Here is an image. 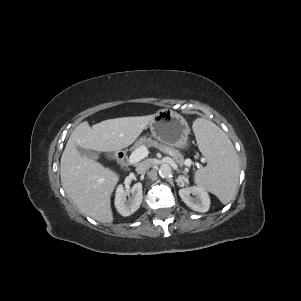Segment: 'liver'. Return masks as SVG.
<instances>
[{"label":"liver","instance_id":"1","mask_svg":"<svg viewBox=\"0 0 301 301\" xmlns=\"http://www.w3.org/2000/svg\"><path fill=\"white\" fill-rule=\"evenodd\" d=\"M153 115L108 119L90 127L79 124L70 135L60 162L62 186L85 215L113 222L111 195L119 181L117 173L87 156L77 147L97 152L119 151L130 146L147 128Z\"/></svg>","mask_w":301,"mask_h":301}]
</instances>
